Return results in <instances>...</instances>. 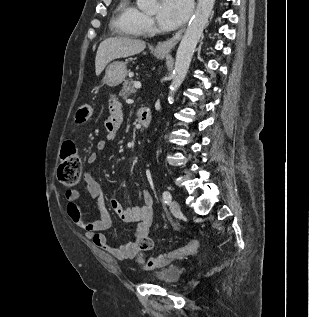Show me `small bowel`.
<instances>
[{
    "mask_svg": "<svg viewBox=\"0 0 309 317\" xmlns=\"http://www.w3.org/2000/svg\"><path fill=\"white\" fill-rule=\"evenodd\" d=\"M122 122L121 104L116 100L110 101V115L105 122L106 136L96 145L97 152H102L106 148L108 142L117 139L118 130ZM91 153L88 158V164H95L98 159V153ZM83 193L76 190H68L65 194L66 211L71 221L81 228L84 235L93 242V244L118 260L133 258L138 250L137 241L146 236L153 219V197L147 190H142L141 198L143 204L141 206L125 207L117 200L110 201L111 210L124 223H137L138 231L133 241L120 246H110L104 234L111 227V217L108 210L103 205V191L101 185L92 176L91 173L84 174ZM84 198L86 200H95L98 204V219L88 220L81 210L79 201Z\"/></svg>",
    "mask_w": 309,
    "mask_h": 317,
    "instance_id": "small-bowel-1",
    "label": "small bowel"
}]
</instances>
